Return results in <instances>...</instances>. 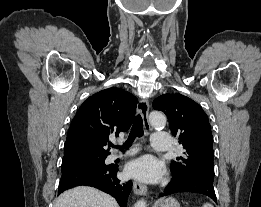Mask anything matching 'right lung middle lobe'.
<instances>
[{"mask_svg": "<svg viewBox=\"0 0 261 207\" xmlns=\"http://www.w3.org/2000/svg\"><path fill=\"white\" fill-rule=\"evenodd\" d=\"M105 159L106 156H92L62 161V172L80 168L104 166Z\"/></svg>", "mask_w": 261, "mask_h": 207, "instance_id": "dd1d6c3e", "label": "right lung middle lobe"}]
</instances>
